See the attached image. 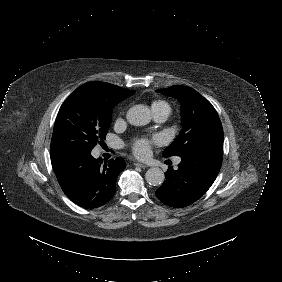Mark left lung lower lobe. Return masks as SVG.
<instances>
[{"label":"left lung lower lobe","instance_id":"obj_1","mask_svg":"<svg viewBox=\"0 0 282 282\" xmlns=\"http://www.w3.org/2000/svg\"><path fill=\"white\" fill-rule=\"evenodd\" d=\"M178 169L168 168L156 196L166 205L182 208L203 196L222 165L223 147L200 146L180 156Z\"/></svg>","mask_w":282,"mask_h":282}]
</instances>
